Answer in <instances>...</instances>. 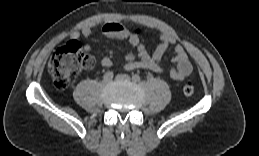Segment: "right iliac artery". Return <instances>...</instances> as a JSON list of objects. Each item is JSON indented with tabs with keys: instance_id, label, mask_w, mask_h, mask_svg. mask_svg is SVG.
<instances>
[{
	"instance_id": "obj_1",
	"label": "right iliac artery",
	"mask_w": 259,
	"mask_h": 156,
	"mask_svg": "<svg viewBox=\"0 0 259 156\" xmlns=\"http://www.w3.org/2000/svg\"><path fill=\"white\" fill-rule=\"evenodd\" d=\"M104 79H109L111 80L113 78V72L112 71H107L104 76H103Z\"/></svg>"
}]
</instances>
